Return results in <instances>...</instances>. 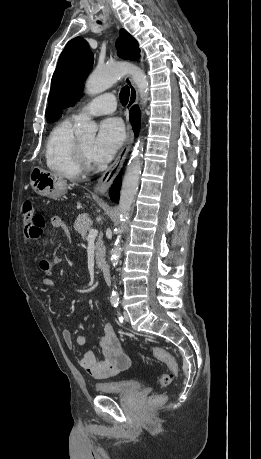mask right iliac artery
I'll return each mask as SVG.
<instances>
[{"mask_svg":"<svg viewBox=\"0 0 261 459\" xmlns=\"http://www.w3.org/2000/svg\"><path fill=\"white\" fill-rule=\"evenodd\" d=\"M111 304H112L114 307H117L118 304H119V300H118V299H113V300H111Z\"/></svg>","mask_w":261,"mask_h":459,"instance_id":"right-iliac-artery-1","label":"right iliac artery"}]
</instances>
